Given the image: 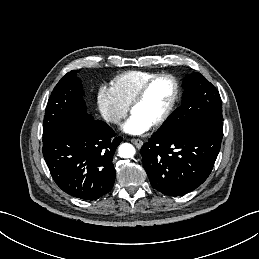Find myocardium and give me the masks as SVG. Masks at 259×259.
<instances>
[{
	"label": "myocardium",
	"instance_id": "1",
	"mask_svg": "<svg viewBox=\"0 0 259 259\" xmlns=\"http://www.w3.org/2000/svg\"><path fill=\"white\" fill-rule=\"evenodd\" d=\"M159 79H168L172 82L173 84V95L172 98L169 102V105L167 106L166 110L164 113L161 115V117L156 120L153 124H151V127L156 128L164 124L167 119L170 117L172 114L174 107L176 105V102L178 100L179 96V83L177 79L168 73H161V74H156L153 77H151L149 80H147L139 89V91L136 93L134 96L132 102L130 103V111H133V108L145 97L149 87L157 80Z\"/></svg>",
	"mask_w": 259,
	"mask_h": 259
}]
</instances>
